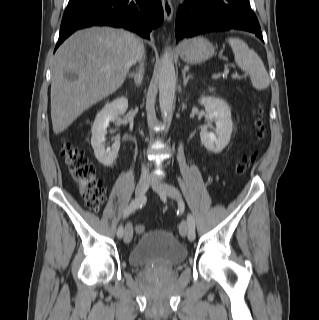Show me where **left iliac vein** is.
Masks as SVG:
<instances>
[{"instance_id":"4c4485c4","label":"left iliac vein","mask_w":319,"mask_h":320,"mask_svg":"<svg viewBox=\"0 0 319 320\" xmlns=\"http://www.w3.org/2000/svg\"><path fill=\"white\" fill-rule=\"evenodd\" d=\"M152 188L161 197L169 196L171 198H174L176 201H178L180 203L181 206H183L181 195H180L179 191L177 190V188H175L174 186L169 185L167 183L153 182ZM179 231H180L181 236H183V237L188 236V239L190 240L189 232H188V224L186 221H183L181 223Z\"/></svg>"}]
</instances>
